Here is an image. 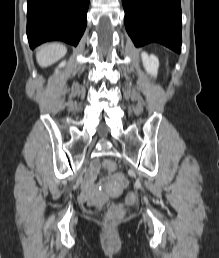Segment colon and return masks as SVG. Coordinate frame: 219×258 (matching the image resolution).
I'll return each instance as SVG.
<instances>
[{
    "label": "colon",
    "mask_w": 219,
    "mask_h": 258,
    "mask_svg": "<svg viewBox=\"0 0 219 258\" xmlns=\"http://www.w3.org/2000/svg\"><path fill=\"white\" fill-rule=\"evenodd\" d=\"M103 166L108 170V171H114L116 169V165L114 162L110 161V160H106L103 163ZM137 199V195L133 192L127 194L126 196V201L128 202H134ZM93 208H99V206H92ZM122 208L117 205L114 204L112 206H110L108 212H107V216H106V221L110 224L115 223L121 216H122Z\"/></svg>",
    "instance_id": "obj_1"
}]
</instances>
